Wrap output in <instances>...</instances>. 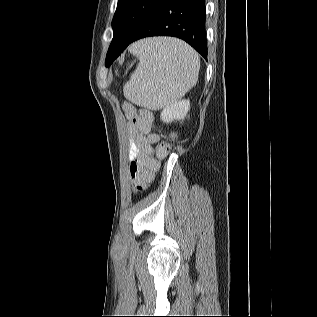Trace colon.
I'll list each match as a JSON object with an SVG mask.
<instances>
[{
	"instance_id": "1",
	"label": "colon",
	"mask_w": 317,
	"mask_h": 317,
	"mask_svg": "<svg viewBox=\"0 0 317 317\" xmlns=\"http://www.w3.org/2000/svg\"><path fill=\"white\" fill-rule=\"evenodd\" d=\"M153 122V114L147 109L136 111L133 117V124L140 131L147 133ZM170 150V144L162 142L157 147V159L166 157ZM147 155H141L131 162L129 173L132 186L135 191L143 190L152 178L153 172L158 166V160Z\"/></svg>"
}]
</instances>
